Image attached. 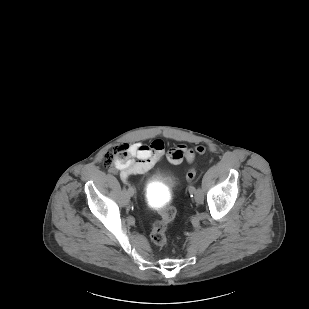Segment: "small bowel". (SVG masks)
Here are the masks:
<instances>
[{
    "instance_id": "1",
    "label": "small bowel",
    "mask_w": 309,
    "mask_h": 309,
    "mask_svg": "<svg viewBox=\"0 0 309 309\" xmlns=\"http://www.w3.org/2000/svg\"><path fill=\"white\" fill-rule=\"evenodd\" d=\"M129 148L131 158L117 167L123 179L148 172L163 159L165 154V144L160 139H156L150 144L134 142L130 144ZM194 158V150L186 145L175 147L169 155V161L174 164L183 161L192 162Z\"/></svg>"
}]
</instances>
